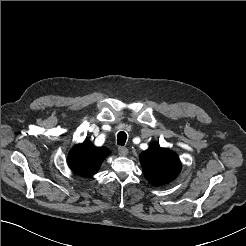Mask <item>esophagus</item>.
I'll return each mask as SVG.
<instances>
[{
  "label": "esophagus",
  "instance_id": "1",
  "mask_svg": "<svg viewBox=\"0 0 246 246\" xmlns=\"http://www.w3.org/2000/svg\"><path fill=\"white\" fill-rule=\"evenodd\" d=\"M118 153L121 156H126L128 154V149L126 147L120 146L118 147Z\"/></svg>",
  "mask_w": 246,
  "mask_h": 246
}]
</instances>
